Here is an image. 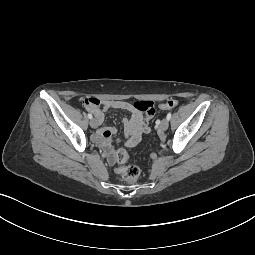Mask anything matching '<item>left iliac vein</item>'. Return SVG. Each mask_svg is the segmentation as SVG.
I'll use <instances>...</instances> for the list:
<instances>
[{"label":"left iliac vein","mask_w":255,"mask_h":255,"mask_svg":"<svg viewBox=\"0 0 255 255\" xmlns=\"http://www.w3.org/2000/svg\"><path fill=\"white\" fill-rule=\"evenodd\" d=\"M168 126H169V120L167 118H164L162 121H161V124L159 126L160 130L162 131H166L168 129Z\"/></svg>","instance_id":"4c4485c4"}]
</instances>
